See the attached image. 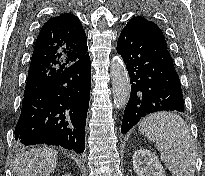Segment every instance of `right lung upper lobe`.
Masks as SVG:
<instances>
[{
  "label": "right lung upper lobe",
  "instance_id": "1",
  "mask_svg": "<svg viewBox=\"0 0 205 176\" xmlns=\"http://www.w3.org/2000/svg\"><path fill=\"white\" fill-rule=\"evenodd\" d=\"M87 49L85 31L75 15L49 19L35 42L24 95L87 55Z\"/></svg>",
  "mask_w": 205,
  "mask_h": 176
}]
</instances>
